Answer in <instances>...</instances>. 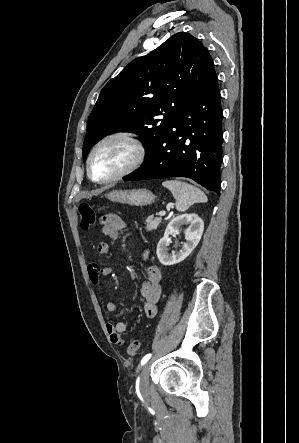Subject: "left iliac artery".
<instances>
[{
    "mask_svg": "<svg viewBox=\"0 0 299 443\" xmlns=\"http://www.w3.org/2000/svg\"><path fill=\"white\" fill-rule=\"evenodd\" d=\"M151 356L152 354H146L141 360V365L142 366L145 365L148 362V360L151 358Z\"/></svg>",
    "mask_w": 299,
    "mask_h": 443,
    "instance_id": "1",
    "label": "left iliac artery"
}]
</instances>
